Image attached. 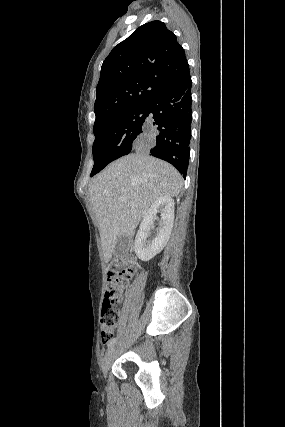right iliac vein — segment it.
Instances as JSON below:
<instances>
[{"label": "right iliac vein", "instance_id": "obj_1", "mask_svg": "<svg viewBox=\"0 0 285 427\" xmlns=\"http://www.w3.org/2000/svg\"><path fill=\"white\" fill-rule=\"evenodd\" d=\"M114 351H115V346H112V347H111V348L106 352V354H105V356H104V359H103V362H102V371H103V374H104V375H106V374H107V372H108V370H109V368H110L111 361H112V356H113Z\"/></svg>", "mask_w": 285, "mask_h": 427}]
</instances>
